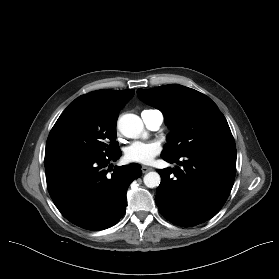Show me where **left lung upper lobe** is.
<instances>
[{
	"instance_id": "obj_1",
	"label": "left lung upper lobe",
	"mask_w": 279,
	"mask_h": 279,
	"mask_svg": "<svg viewBox=\"0 0 279 279\" xmlns=\"http://www.w3.org/2000/svg\"><path fill=\"white\" fill-rule=\"evenodd\" d=\"M137 95L143 102L162 111L171 130L161 156L178 158L208 148L236 149L226 118L205 94L170 84L138 89Z\"/></svg>"
}]
</instances>
